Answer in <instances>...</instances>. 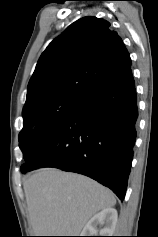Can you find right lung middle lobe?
<instances>
[{
	"label": "right lung middle lobe",
	"mask_w": 158,
	"mask_h": 237,
	"mask_svg": "<svg viewBox=\"0 0 158 237\" xmlns=\"http://www.w3.org/2000/svg\"><path fill=\"white\" fill-rule=\"evenodd\" d=\"M71 98H52L23 111V129L19 134V146L27 167L41 144L59 128L83 103Z\"/></svg>",
	"instance_id": "right-lung-middle-lobe-1"
}]
</instances>
